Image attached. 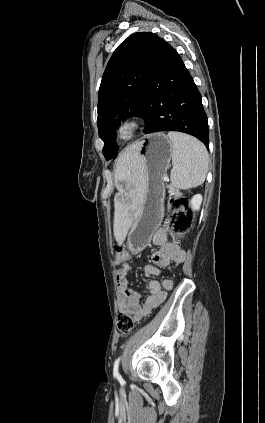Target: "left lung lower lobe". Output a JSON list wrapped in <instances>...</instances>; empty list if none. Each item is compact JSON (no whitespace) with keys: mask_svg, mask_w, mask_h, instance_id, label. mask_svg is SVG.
Returning <instances> with one entry per match:
<instances>
[{"mask_svg":"<svg viewBox=\"0 0 265 423\" xmlns=\"http://www.w3.org/2000/svg\"><path fill=\"white\" fill-rule=\"evenodd\" d=\"M138 117L145 120V134L184 132L208 148L209 130L201 95L181 57L165 40L144 88Z\"/></svg>","mask_w":265,"mask_h":423,"instance_id":"obj_1","label":"left lung lower lobe"}]
</instances>
